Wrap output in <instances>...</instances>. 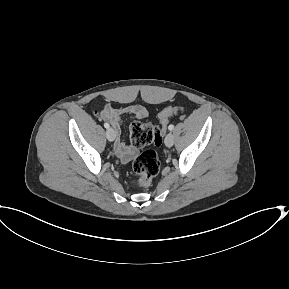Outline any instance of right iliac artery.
Listing matches in <instances>:
<instances>
[{"label": "right iliac artery", "mask_w": 289, "mask_h": 289, "mask_svg": "<svg viewBox=\"0 0 289 289\" xmlns=\"http://www.w3.org/2000/svg\"><path fill=\"white\" fill-rule=\"evenodd\" d=\"M104 127H105L106 129H108V128L110 127V125H109L108 123H104Z\"/></svg>", "instance_id": "1"}]
</instances>
